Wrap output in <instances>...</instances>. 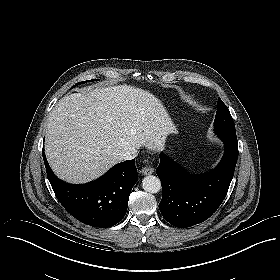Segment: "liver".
<instances>
[{
  "instance_id": "1",
  "label": "liver",
  "mask_w": 280,
  "mask_h": 280,
  "mask_svg": "<svg viewBox=\"0 0 280 280\" xmlns=\"http://www.w3.org/2000/svg\"><path fill=\"white\" fill-rule=\"evenodd\" d=\"M175 131L162 103L128 85L64 96L49 114L45 153L55 174L72 183L97 179L122 161L120 155L144 146L162 151Z\"/></svg>"
}]
</instances>
